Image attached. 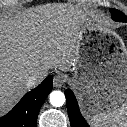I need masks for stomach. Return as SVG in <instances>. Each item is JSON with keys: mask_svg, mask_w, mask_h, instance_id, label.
Masks as SVG:
<instances>
[{"mask_svg": "<svg viewBox=\"0 0 127 127\" xmlns=\"http://www.w3.org/2000/svg\"><path fill=\"white\" fill-rule=\"evenodd\" d=\"M70 82L88 113L107 112L127 99V53L109 47L89 26L81 30Z\"/></svg>", "mask_w": 127, "mask_h": 127, "instance_id": "1", "label": "stomach"}]
</instances>
